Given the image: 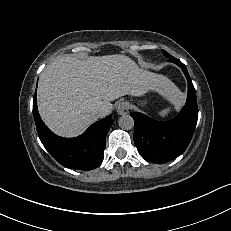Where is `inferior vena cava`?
Instances as JSON below:
<instances>
[{"mask_svg": "<svg viewBox=\"0 0 231 231\" xmlns=\"http://www.w3.org/2000/svg\"><path fill=\"white\" fill-rule=\"evenodd\" d=\"M108 115V111L105 108H100L97 110V116L102 118L104 116Z\"/></svg>", "mask_w": 231, "mask_h": 231, "instance_id": "602c4592", "label": "inferior vena cava"}]
</instances>
